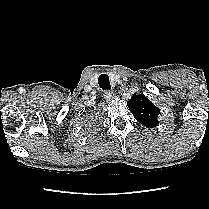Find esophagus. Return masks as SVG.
Wrapping results in <instances>:
<instances>
[{
    "label": "esophagus",
    "mask_w": 209,
    "mask_h": 209,
    "mask_svg": "<svg viewBox=\"0 0 209 209\" xmlns=\"http://www.w3.org/2000/svg\"><path fill=\"white\" fill-rule=\"evenodd\" d=\"M104 97L107 100L113 99V98H115V93L113 91H106L104 93Z\"/></svg>",
    "instance_id": "1"
}]
</instances>
